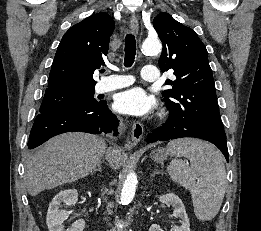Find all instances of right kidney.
Listing matches in <instances>:
<instances>
[{"mask_svg":"<svg viewBox=\"0 0 261 231\" xmlns=\"http://www.w3.org/2000/svg\"><path fill=\"white\" fill-rule=\"evenodd\" d=\"M78 201V192L75 189H68L60 191L49 204L46 223L49 231H83L85 228V221L83 219L77 220L70 229L63 226L64 220L68 217L66 210H60L61 203L66 206L75 205Z\"/></svg>","mask_w":261,"mask_h":231,"instance_id":"1","label":"right kidney"}]
</instances>
